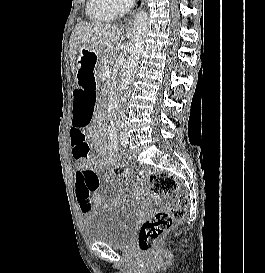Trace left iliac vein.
<instances>
[{"label": "left iliac vein", "instance_id": "left-iliac-vein-1", "mask_svg": "<svg viewBox=\"0 0 265 273\" xmlns=\"http://www.w3.org/2000/svg\"><path fill=\"white\" fill-rule=\"evenodd\" d=\"M120 140H121V144L126 147L129 143L128 141V136H127V132L126 131H122L120 134Z\"/></svg>", "mask_w": 265, "mask_h": 273}]
</instances>
